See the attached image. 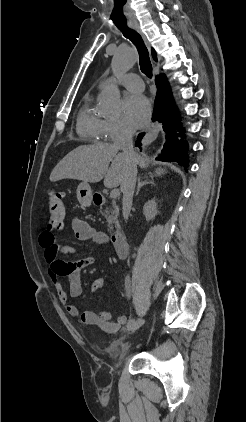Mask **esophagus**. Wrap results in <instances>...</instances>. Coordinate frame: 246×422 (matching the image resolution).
<instances>
[{
  "label": "esophagus",
  "mask_w": 246,
  "mask_h": 422,
  "mask_svg": "<svg viewBox=\"0 0 246 422\" xmlns=\"http://www.w3.org/2000/svg\"><path fill=\"white\" fill-rule=\"evenodd\" d=\"M132 28L135 31H137L142 36V38L144 39V41L146 42L145 36L142 33L139 25L138 24L133 25ZM158 127H159L158 124H153L152 125V127L148 130V132H147V134L145 136V143H150V142H152L154 140V138L156 137L157 132H158Z\"/></svg>",
  "instance_id": "obj_1"
}]
</instances>
